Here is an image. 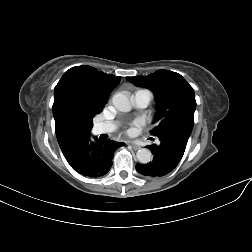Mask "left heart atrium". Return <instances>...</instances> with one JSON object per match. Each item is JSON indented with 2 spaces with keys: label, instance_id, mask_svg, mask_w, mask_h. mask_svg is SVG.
I'll list each match as a JSON object with an SVG mask.
<instances>
[{
  "label": "left heart atrium",
  "instance_id": "left-heart-atrium-1",
  "mask_svg": "<svg viewBox=\"0 0 252 252\" xmlns=\"http://www.w3.org/2000/svg\"><path fill=\"white\" fill-rule=\"evenodd\" d=\"M142 124V121L140 119H136L130 124H128L125 128V131L128 135H133L136 131V128L139 127Z\"/></svg>",
  "mask_w": 252,
  "mask_h": 252
}]
</instances>
